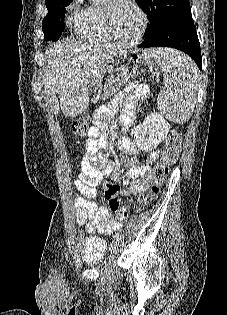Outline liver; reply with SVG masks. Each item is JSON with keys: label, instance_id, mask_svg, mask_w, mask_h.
<instances>
[{"label": "liver", "instance_id": "1", "mask_svg": "<svg viewBox=\"0 0 227 315\" xmlns=\"http://www.w3.org/2000/svg\"><path fill=\"white\" fill-rule=\"evenodd\" d=\"M122 54L107 43L63 41L50 45L43 93L50 97L54 114L58 115L60 108L66 117L82 114L89 106V85Z\"/></svg>", "mask_w": 227, "mask_h": 315}]
</instances>
